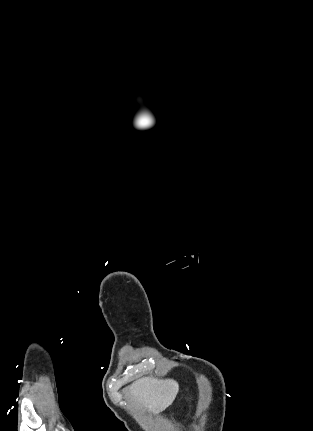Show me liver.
Returning a JSON list of instances; mask_svg holds the SVG:
<instances>
[{"label": "liver", "instance_id": "liver-1", "mask_svg": "<svg viewBox=\"0 0 313 431\" xmlns=\"http://www.w3.org/2000/svg\"><path fill=\"white\" fill-rule=\"evenodd\" d=\"M132 398L149 412L157 413L174 401L179 385L174 380H158L153 377L140 378L129 386Z\"/></svg>", "mask_w": 313, "mask_h": 431}]
</instances>
